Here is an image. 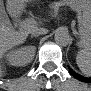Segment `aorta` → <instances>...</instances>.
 <instances>
[{
    "instance_id": "aorta-1",
    "label": "aorta",
    "mask_w": 91,
    "mask_h": 91,
    "mask_svg": "<svg viewBox=\"0 0 91 91\" xmlns=\"http://www.w3.org/2000/svg\"><path fill=\"white\" fill-rule=\"evenodd\" d=\"M54 39L57 43L66 45L69 42V33L65 28L59 27L55 31Z\"/></svg>"
}]
</instances>
